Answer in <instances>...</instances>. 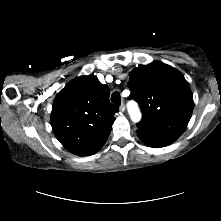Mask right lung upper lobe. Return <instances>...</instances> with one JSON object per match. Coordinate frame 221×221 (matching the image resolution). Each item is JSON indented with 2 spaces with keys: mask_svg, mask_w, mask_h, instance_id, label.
<instances>
[{
  "mask_svg": "<svg viewBox=\"0 0 221 221\" xmlns=\"http://www.w3.org/2000/svg\"><path fill=\"white\" fill-rule=\"evenodd\" d=\"M109 95V87L92 74L74 79L58 93L51 126L69 152L88 156L104 145L118 111L110 103Z\"/></svg>",
  "mask_w": 221,
  "mask_h": 221,
  "instance_id": "1",
  "label": "right lung upper lobe"
}]
</instances>
